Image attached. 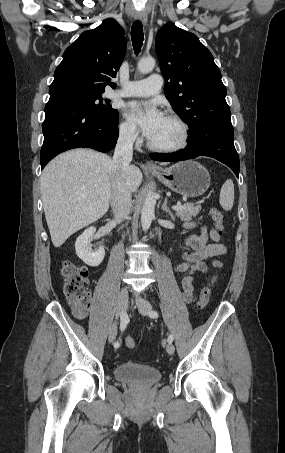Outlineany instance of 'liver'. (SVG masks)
<instances>
[{
  "mask_svg": "<svg viewBox=\"0 0 285 453\" xmlns=\"http://www.w3.org/2000/svg\"><path fill=\"white\" fill-rule=\"evenodd\" d=\"M117 175L108 155L90 149L67 151L47 164L41 175V194L56 248L106 214ZM123 178L130 191L135 192L143 175L138 167L131 165Z\"/></svg>",
  "mask_w": 285,
  "mask_h": 453,
  "instance_id": "obj_1",
  "label": "liver"
}]
</instances>
